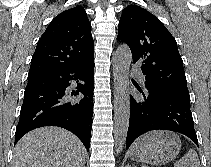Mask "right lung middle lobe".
<instances>
[{
    "mask_svg": "<svg viewBox=\"0 0 211 167\" xmlns=\"http://www.w3.org/2000/svg\"><path fill=\"white\" fill-rule=\"evenodd\" d=\"M35 84H39V83L38 82H35V80H32V81H28L27 86H29V85H35Z\"/></svg>",
    "mask_w": 211,
    "mask_h": 167,
    "instance_id": "obj_1",
    "label": "right lung middle lobe"
}]
</instances>
